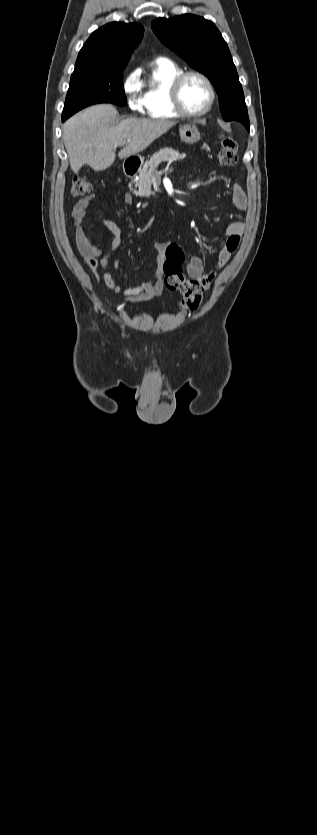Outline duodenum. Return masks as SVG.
<instances>
[{"label": "duodenum", "instance_id": "duodenum-1", "mask_svg": "<svg viewBox=\"0 0 317 835\" xmlns=\"http://www.w3.org/2000/svg\"><path fill=\"white\" fill-rule=\"evenodd\" d=\"M138 168L139 164L136 161L130 159L125 161L123 167L124 173L127 177L133 176L138 171Z\"/></svg>", "mask_w": 317, "mask_h": 835}]
</instances>
